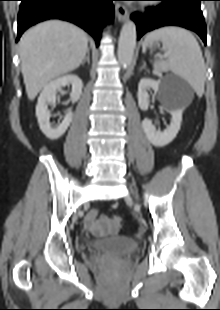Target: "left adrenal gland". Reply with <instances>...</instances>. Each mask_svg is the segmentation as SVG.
I'll use <instances>...</instances> for the list:
<instances>
[{
	"mask_svg": "<svg viewBox=\"0 0 220 310\" xmlns=\"http://www.w3.org/2000/svg\"><path fill=\"white\" fill-rule=\"evenodd\" d=\"M143 69L146 70V62H143V66L140 68V71H142Z\"/></svg>",
	"mask_w": 220,
	"mask_h": 310,
	"instance_id": "1",
	"label": "left adrenal gland"
}]
</instances>
